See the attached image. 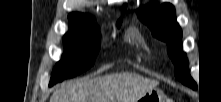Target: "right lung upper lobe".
Segmentation results:
<instances>
[{
    "label": "right lung upper lobe",
    "mask_w": 221,
    "mask_h": 102,
    "mask_svg": "<svg viewBox=\"0 0 221 102\" xmlns=\"http://www.w3.org/2000/svg\"><path fill=\"white\" fill-rule=\"evenodd\" d=\"M68 18L77 21H91V17L82 13H71Z\"/></svg>",
    "instance_id": "right-lung-upper-lobe-1"
}]
</instances>
